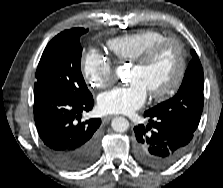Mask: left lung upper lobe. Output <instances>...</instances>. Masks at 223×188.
Instances as JSON below:
<instances>
[{
	"instance_id": "1",
	"label": "left lung upper lobe",
	"mask_w": 223,
	"mask_h": 188,
	"mask_svg": "<svg viewBox=\"0 0 223 188\" xmlns=\"http://www.w3.org/2000/svg\"><path fill=\"white\" fill-rule=\"evenodd\" d=\"M191 54L192 60L177 94L147 111L194 132L203 110L204 81L203 69L195 50H191Z\"/></svg>"
}]
</instances>
